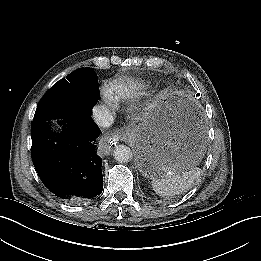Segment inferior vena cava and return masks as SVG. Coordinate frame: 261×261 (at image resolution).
I'll use <instances>...</instances> for the list:
<instances>
[{
    "label": "inferior vena cava",
    "mask_w": 261,
    "mask_h": 261,
    "mask_svg": "<svg viewBox=\"0 0 261 261\" xmlns=\"http://www.w3.org/2000/svg\"><path fill=\"white\" fill-rule=\"evenodd\" d=\"M93 120L103 128L111 126L114 121L111 111L104 106H97L93 109Z\"/></svg>",
    "instance_id": "inferior-vena-cava-1"
}]
</instances>
